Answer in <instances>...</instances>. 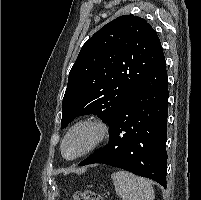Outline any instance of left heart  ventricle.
<instances>
[{
	"label": "left heart ventricle",
	"instance_id": "1",
	"mask_svg": "<svg viewBox=\"0 0 201 200\" xmlns=\"http://www.w3.org/2000/svg\"><path fill=\"white\" fill-rule=\"evenodd\" d=\"M94 133L91 129L81 127L73 131L65 142L64 153L73 157L84 151L91 143Z\"/></svg>",
	"mask_w": 201,
	"mask_h": 200
}]
</instances>
